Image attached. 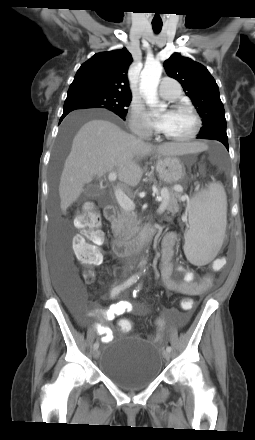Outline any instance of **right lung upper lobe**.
<instances>
[{"instance_id":"obj_1","label":"right lung upper lobe","mask_w":255,"mask_h":440,"mask_svg":"<svg viewBox=\"0 0 255 440\" xmlns=\"http://www.w3.org/2000/svg\"><path fill=\"white\" fill-rule=\"evenodd\" d=\"M132 61L126 48L95 54L78 69L67 96L88 92L131 96L127 72Z\"/></svg>"}]
</instances>
